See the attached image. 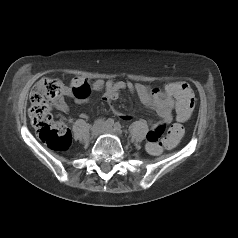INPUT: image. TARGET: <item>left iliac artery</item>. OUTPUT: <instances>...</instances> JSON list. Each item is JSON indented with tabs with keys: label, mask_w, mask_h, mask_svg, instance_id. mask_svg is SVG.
I'll return each mask as SVG.
<instances>
[{
	"label": "left iliac artery",
	"mask_w": 238,
	"mask_h": 238,
	"mask_svg": "<svg viewBox=\"0 0 238 238\" xmlns=\"http://www.w3.org/2000/svg\"><path fill=\"white\" fill-rule=\"evenodd\" d=\"M114 129L118 132H121V124L119 122H116L114 124Z\"/></svg>",
	"instance_id": "1"
}]
</instances>
